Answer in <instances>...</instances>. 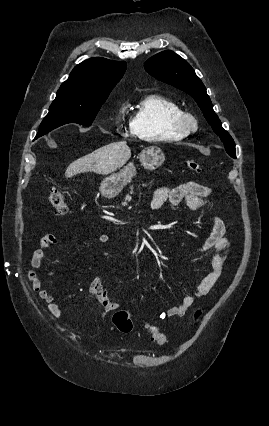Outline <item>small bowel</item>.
<instances>
[{
    "label": "small bowel",
    "instance_id": "c3829d8e",
    "mask_svg": "<svg viewBox=\"0 0 269 426\" xmlns=\"http://www.w3.org/2000/svg\"><path fill=\"white\" fill-rule=\"evenodd\" d=\"M211 192L209 187L194 181L182 183L174 188L160 187L155 191L151 205L152 208L159 209L166 202L174 206L184 202L190 210L200 211L205 208ZM225 233L226 227L224 222L220 218L214 217L211 232L200 246L201 251L213 250L210 269L201 278L194 294L185 296L180 304L174 305L161 313L159 319L165 320L185 315L195 300L207 295L221 278L230 251V243ZM109 240L110 237L107 234H101L97 238V241L102 244L109 242ZM57 243L58 241L55 236H44L40 240L38 248L33 253L31 260L32 267L35 269L40 268L46 251L56 246ZM53 275L54 271L51 270L49 276L52 277ZM31 286L38 296L46 302L47 310L51 315H62L61 307L56 303L49 291L43 287L39 277L32 279ZM90 288L100 300L104 309L103 314H108L119 307V304L111 299L109 291L101 277H95L90 283Z\"/></svg>",
    "mask_w": 269,
    "mask_h": 426
}]
</instances>
